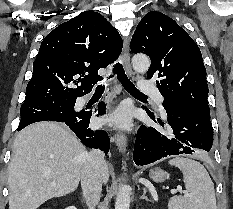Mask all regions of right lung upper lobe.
Masks as SVG:
<instances>
[{
	"label": "right lung upper lobe",
	"mask_w": 233,
	"mask_h": 209,
	"mask_svg": "<svg viewBox=\"0 0 233 209\" xmlns=\"http://www.w3.org/2000/svg\"><path fill=\"white\" fill-rule=\"evenodd\" d=\"M118 31L99 13L85 11L52 30L42 41L24 103L77 99L91 92L122 51Z\"/></svg>",
	"instance_id": "1"
}]
</instances>
